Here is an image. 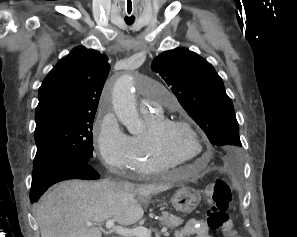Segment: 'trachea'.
<instances>
[{
	"mask_svg": "<svg viewBox=\"0 0 297 237\" xmlns=\"http://www.w3.org/2000/svg\"><path fill=\"white\" fill-rule=\"evenodd\" d=\"M133 22H134V21H129V20H126V23H127L128 25H131V24H133Z\"/></svg>",
	"mask_w": 297,
	"mask_h": 237,
	"instance_id": "1",
	"label": "trachea"
}]
</instances>
